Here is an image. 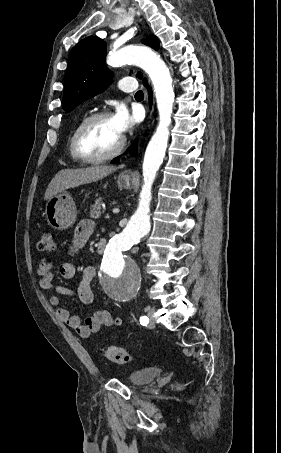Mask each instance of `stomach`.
Listing matches in <instances>:
<instances>
[{
	"mask_svg": "<svg viewBox=\"0 0 281 453\" xmlns=\"http://www.w3.org/2000/svg\"><path fill=\"white\" fill-rule=\"evenodd\" d=\"M132 174L121 172L118 176L120 186L130 188ZM45 214L48 224L52 229L65 231L74 224L77 216L76 204L69 192H60L49 198L45 206Z\"/></svg>",
	"mask_w": 281,
	"mask_h": 453,
	"instance_id": "1",
	"label": "stomach"
}]
</instances>
